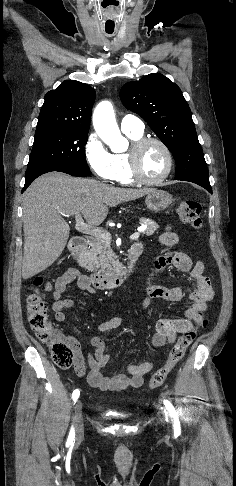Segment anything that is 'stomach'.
<instances>
[{
  "mask_svg": "<svg viewBox=\"0 0 236 486\" xmlns=\"http://www.w3.org/2000/svg\"><path fill=\"white\" fill-rule=\"evenodd\" d=\"M172 195L163 190L154 189L145 197V204L150 211L160 212L169 207L172 203Z\"/></svg>",
  "mask_w": 236,
  "mask_h": 486,
  "instance_id": "1",
  "label": "stomach"
}]
</instances>
